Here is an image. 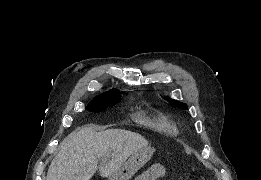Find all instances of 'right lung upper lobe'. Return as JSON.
Listing matches in <instances>:
<instances>
[{
	"mask_svg": "<svg viewBox=\"0 0 261 180\" xmlns=\"http://www.w3.org/2000/svg\"><path fill=\"white\" fill-rule=\"evenodd\" d=\"M117 97H120V92L116 89H112L111 91L104 93L103 95H100L95 99H106V98H117Z\"/></svg>",
	"mask_w": 261,
	"mask_h": 180,
	"instance_id": "1",
	"label": "right lung upper lobe"
}]
</instances>
